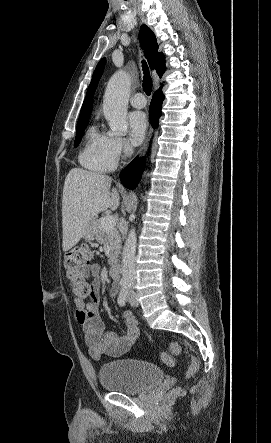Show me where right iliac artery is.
<instances>
[{
  "label": "right iliac artery",
  "mask_w": 271,
  "mask_h": 443,
  "mask_svg": "<svg viewBox=\"0 0 271 443\" xmlns=\"http://www.w3.org/2000/svg\"><path fill=\"white\" fill-rule=\"evenodd\" d=\"M128 290H129V287H128V286H123V287L121 288V290H120V294H119V297H118V304H119L120 306H124V305H125V303H126V301H127Z\"/></svg>",
  "instance_id": "right-iliac-artery-1"
}]
</instances>
